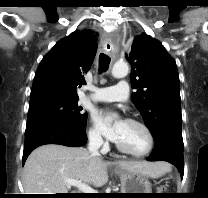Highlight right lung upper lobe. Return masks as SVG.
Instances as JSON below:
<instances>
[{"mask_svg":"<svg viewBox=\"0 0 208 198\" xmlns=\"http://www.w3.org/2000/svg\"><path fill=\"white\" fill-rule=\"evenodd\" d=\"M97 49L90 30H76L46 54L35 74L29 107L48 101L79 99L76 87L85 84Z\"/></svg>","mask_w":208,"mask_h":198,"instance_id":"obj_1","label":"right lung upper lobe"}]
</instances>
